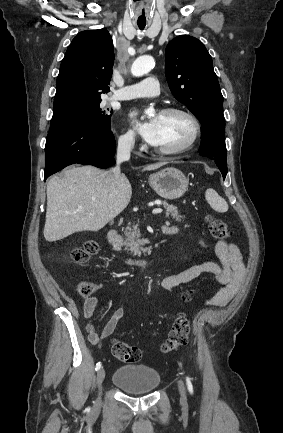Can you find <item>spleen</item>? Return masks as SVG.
Segmentation results:
<instances>
[{
    "instance_id": "3e777b00",
    "label": "spleen",
    "mask_w": 283,
    "mask_h": 433,
    "mask_svg": "<svg viewBox=\"0 0 283 433\" xmlns=\"http://www.w3.org/2000/svg\"><path fill=\"white\" fill-rule=\"evenodd\" d=\"M206 200L209 202L210 206L217 210V212H226L228 210V204L222 196H219L218 192L214 188H207L206 190Z\"/></svg>"
}]
</instances>
